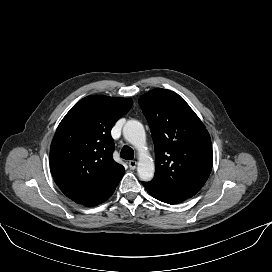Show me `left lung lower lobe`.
Listing matches in <instances>:
<instances>
[{"mask_svg":"<svg viewBox=\"0 0 272 272\" xmlns=\"http://www.w3.org/2000/svg\"><path fill=\"white\" fill-rule=\"evenodd\" d=\"M143 184L151 196H153L154 198H156L162 202H165L168 204H177V203H180V202L187 199V198H181V197L168 196L165 194H161V193L152 191L146 186V184L144 182H143Z\"/></svg>","mask_w":272,"mask_h":272,"instance_id":"0a47b994","label":"left lung lower lobe"}]
</instances>
